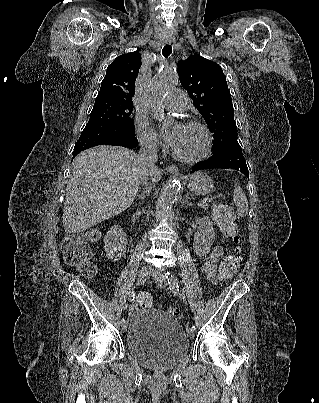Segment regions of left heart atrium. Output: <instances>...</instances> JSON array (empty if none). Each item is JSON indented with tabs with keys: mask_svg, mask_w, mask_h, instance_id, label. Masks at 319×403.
Returning <instances> with one entry per match:
<instances>
[{
	"mask_svg": "<svg viewBox=\"0 0 319 403\" xmlns=\"http://www.w3.org/2000/svg\"><path fill=\"white\" fill-rule=\"evenodd\" d=\"M182 125L179 123L174 124L169 129L162 131L164 141L170 146L174 147L179 140Z\"/></svg>",
	"mask_w": 319,
	"mask_h": 403,
	"instance_id": "left-heart-atrium-1",
	"label": "left heart atrium"
}]
</instances>
